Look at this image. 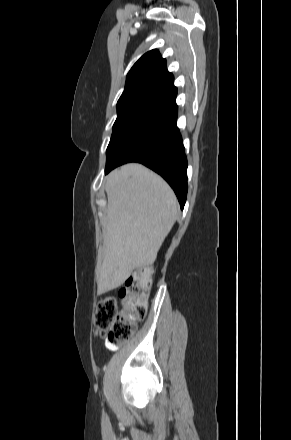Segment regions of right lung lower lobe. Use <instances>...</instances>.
Wrapping results in <instances>:
<instances>
[{
	"mask_svg": "<svg viewBox=\"0 0 291 440\" xmlns=\"http://www.w3.org/2000/svg\"><path fill=\"white\" fill-rule=\"evenodd\" d=\"M177 88L156 98L138 125L113 156L105 174L128 163L139 162L160 174L175 191L181 209L187 196V158L176 126Z\"/></svg>",
	"mask_w": 291,
	"mask_h": 440,
	"instance_id": "obj_1",
	"label": "right lung lower lobe"
}]
</instances>
